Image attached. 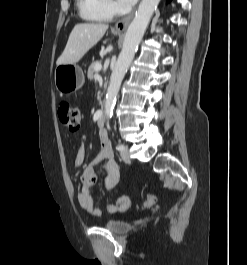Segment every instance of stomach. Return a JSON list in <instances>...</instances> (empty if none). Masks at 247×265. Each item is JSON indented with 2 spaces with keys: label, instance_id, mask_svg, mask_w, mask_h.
Listing matches in <instances>:
<instances>
[{
  "label": "stomach",
  "instance_id": "stomach-1",
  "mask_svg": "<svg viewBox=\"0 0 247 265\" xmlns=\"http://www.w3.org/2000/svg\"><path fill=\"white\" fill-rule=\"evenodd\" d=\"M54 79L56 89L62 94L77 91L85 81L81 67L76 64L58 65L55 69Z\"/></svg>",
  "mask_w": 247,
  "mask_h": 265
}]
</instances>
